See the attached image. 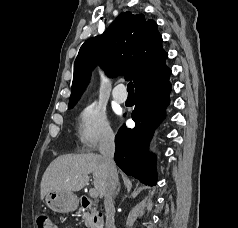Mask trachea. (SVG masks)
I'll use <instances>...</instances> for the list:
<instances>
[{
	"mask_svg": "<svg viewBox=\"0 0 238 228\" xmlns=\"http://www.w3.org/2000/svg\"><path fill=\"white\" fill-rule=\"evenodd\" d=\"M127 91H128L129 95H134V87H133V83L132 82L128 83Z\"/></svg>",
	"mask_w": 238,
	"mask_h": 228,
	"instance_id": "3493384b",
	"label": "trachea"
}]
</instances>
